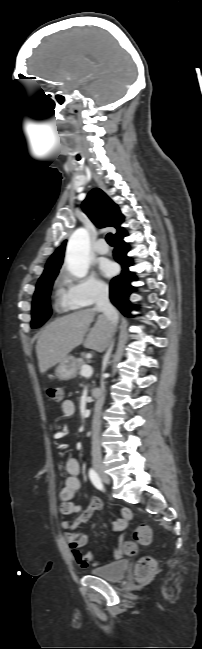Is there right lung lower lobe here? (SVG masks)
I'll return each mask as SVG.
<instances>
[{
  "mask_svg": "<svg viewBox=\"0 0 202 649\" xmlns=\"http://www.w3.org/2000/svg\"><path fill=\"white\" fill-rule=\"evenodd\" d=\"M127 233L123 232L114 237V259L121 265L122 271L121 274L114 277L110 283V300L111 302L121 311L125 316H131L130 310L135 309L136 305H132L130 308L129 295L134 291L133 287L130 285L131 281H134L136 278L132 272L128 270V267L132 264V261L127 257V252L129 251V246L123 241V237Z\"/></svg>",
  "mask_w": 202,
  "mask_h": 649,
  "instance_id": "obj_1",
  "label": "right lung lower lobe"
}]
</instances>
